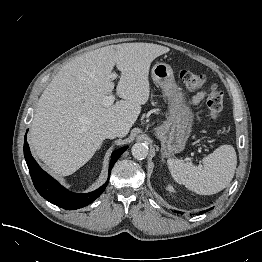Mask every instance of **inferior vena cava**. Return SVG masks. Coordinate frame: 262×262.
<instances>
[{
  "instance_id": "inferior-vena-cava-1",
  "label": "inferior vena cava",
  "mask_w": 262,
  "mask_h": 262,
  "mask_svg": "<svg viewBox=\"0 0 262 262\" xmlns=\"http://www.w3.org/2000/svg\"><path fill=\"white\" fill-rule=\"evenodd\" d=\"M103 134L106 138L113 139L120 135V128L115 124H108L103 128Z\"/></svg>"
}]
</instances>
